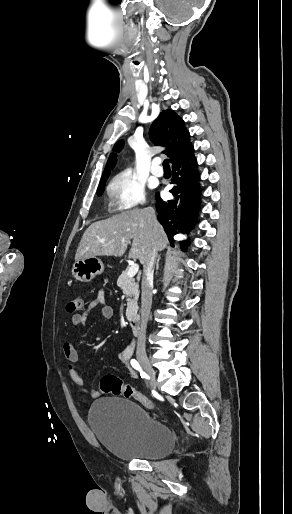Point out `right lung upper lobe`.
Returning a JSON list of instances; mask_svg holds the SVG:
<instances>
[{
  "label": "right lung upper lobe",
  "mask_w": 292,
  "mask_h": 514,
  "mask_svg": "<svg viewBox=\"0 0 292 514\" xmlns=\"http://www.w3.org/2000/svg\"><path fill=\"white\" fill-rule=\"evenodd\" d=\"M149 135L155 145L166 146L168 148L163 151V153L170 157L172 166L194 153V148L190 143V134L184 126V121L172 110H163L160 113L158 118L153 122ZM123 145V140L118 141L114 145L113 151L120 152ZM116 162V155L111 154L101 181L108 179L110 171L114 168Z\"/></svg>",
  "instance_id": "obj_1"
}]
</instances>
